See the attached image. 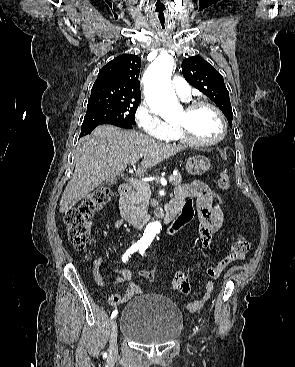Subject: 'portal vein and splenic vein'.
<instances>
[{"instance_id": "18ae733b", "label": "portal vein and splenic vein", "mask_w": 295, "mask_h": 367, "mask_svg": "<svg viewBox=\"0 0 295 367\" xmlns=\"http://www.w3.org/2000/svg\"><path fill=\"white\" fill-rule=\"evenodd\" d=\"M137 161V159L136 160H134L133 162H131V165H133L135 162ZM168 180L169 181H172L173 180V176L171 175V176H169L168 177ZM129 182H130V184H132L133 186H137V187H145L144 186V183H143V181H140V180H138V179H135V178H130L129 179Z\"/></svg>"}]
</instances>
